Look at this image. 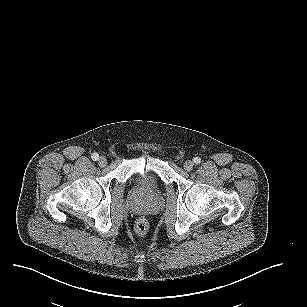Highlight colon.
Wrapping results in <instances>:
<instances>
[{
    "instance_id": "5ec220e1",
    "label": "colon",
    "mask_w": 307,
    "mask_h": 307,
    "mask_svg": "<svg viewBox=\"0 0 307 307\" xmlns=\"http://www.w3.org/2000/svg\"><path fill=\"white\" fill-rule=\"evenodd\" d=\"M149 221L145 217L139 218L135 223V231L140 236H145L149 231Z\"/></svg>"
}]
</instances>
